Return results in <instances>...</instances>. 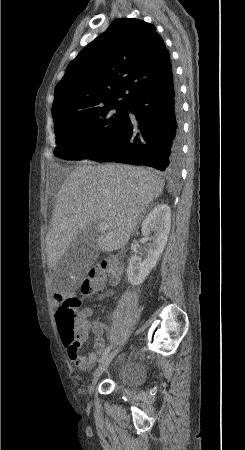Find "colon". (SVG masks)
<instances>
[{"instance_id": "5ec220e1", "label": "colon", "mask_w": 245, "mask_h": 450, "mask_svg": "<svg viewBox=\"0 0 245 450\" xmlns=\"http://www.w3.org/2000/svg\"><path fill=\"white\" fill-rule=\"evenodd\" d=\"M124 266L125 262L116 255L97 264L92 267L83 278L81 290L84 293H87L93 288L103 285L109 279L121 277ZM56 299L61 302L55 315L58 333L64 342L77 345V336L88 335L86 324L79 320L75 312L74 299L66 298L60 294H56ZM77 361H81L79 356L77 357Z\"/></svg>"}]
</instances>
